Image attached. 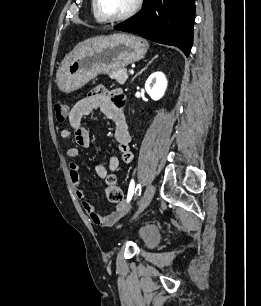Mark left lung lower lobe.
<instances>
[{
	"label": "left lung lower lobe",
	"instance_id": "left-lung-lower-lobe-1",
	"mask_svg": "<svg viewBox=\"0 0 261 306\" xmlns=\"http://www.w3.org/2000/svg\"><path fill=\"white\" fill-rule=\"evenodd\" d=\"M194 14L195 0H144L141 12L114 28L176 46L188 56L193 42Z\"/></svg>",
	"mask_w": 261,
	"mask_h": 306
}]
</instances>
